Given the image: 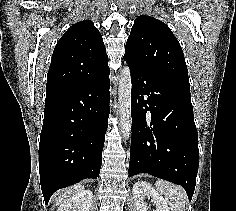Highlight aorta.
<instances>
[{
  "label": "aorta",
  "instance_id": "obj_1",
  "mask_svg": "<svg viewBox=\"0 0 236 211\" xmlns=\"http://www.w3.org/2000/svg\"><path fill=\"white\" fill-rule=\"evenodd\" d=\"M131 91L132 80L131 72L128 66L120 71L118 106L120 116V127L124 137L129 138L131 135Z\"/></svg>",
  "mask_w": 236,
  "mask_h": 211
}]
</instances>
